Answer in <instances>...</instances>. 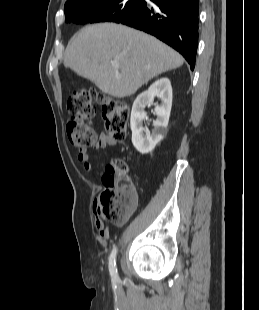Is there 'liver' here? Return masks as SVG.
Listing matches in <instances>:
<instances>
[{"mask_svg":"<svg viewBox=\"0 0 259 310\" xmlns=\"http://www.w3.org/2000/svg\"><path fill=\"white\" fill-rule=\"evenodd\" d=\"M112 62L119 67L114 68ZM183 62L179 53L155 37L114 23L82 28L64 56L66 68L115 98L133 95L155 76Z\"/></svg>","mask_w":259,"mask_h":310,"instance_id":"6515ba94","label":"liver"}]
</instances>
